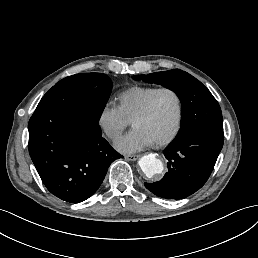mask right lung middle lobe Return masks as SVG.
I'll return each mask as SVG.
<instances>
[{
    "instance_id": "right-lung-middle-lobe-1",
    "label": "right lung middle lobe",
    "mask_w": 258,
    "mask_h": 258,
    "mask_svg": "<svg viewBox=\"0 0 258 258\" xmlns=\"http://www.w3.org/2000/svg\"><path fill=\"white\" fill-rule=\"evenodd\" d=\"M61 85H77L84 87L85 90H89V111L95 118L100 119L112 89L111 80L106 74H75L60 80L52 88Z\"/></svg>"
}]
</instances>
